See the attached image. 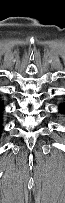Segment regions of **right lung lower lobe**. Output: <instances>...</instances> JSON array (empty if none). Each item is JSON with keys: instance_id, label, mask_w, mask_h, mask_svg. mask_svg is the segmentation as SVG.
Masks as SVG:
<instances>
[{"instance_id": "right-lung-lower-lobe-1", "label": "right lung lower lobe", "mask_w": 65, "mask_h": 203, "mask_svg": "<svg viewBox=\"0 0 65 203\" xmlns=\"http://www.w3.org/2000/svg\"><path fill=\"white\" fill-rule=\"evenodd\" d=\"M2 115H3V103L0 97V135H1V129H2Z\"/></svg>"}]
</instances>
